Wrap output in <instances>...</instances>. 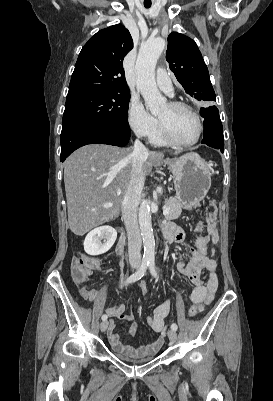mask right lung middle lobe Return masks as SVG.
Segmentation results:
<instances>
[{
    "mask_svg": "<svg viewBox=\"0 0 273 401\" xmlns=\"http://www.w3.org/2000/svg\"><path fill=\"white\" fill-rule=\"evenodd\" d=\"M130 94L118 92H83L67 96L62 127L72 123H91L129 129Z\"/></svg>",
    "mask_w": 273,
    "mask_h": 401,
    "instance_id": "obj_1",
    "label": "right lung middle lobe"
}]
</instances>
